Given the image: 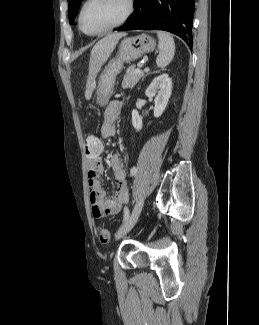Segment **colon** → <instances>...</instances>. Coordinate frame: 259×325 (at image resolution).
Returning <instances> with one entry per match:
<instances>
[{"label":"colon","mask_w":259,"mask_h":325,"mask_svg":"<svg viewBox=\"0 0 259 325\" xmlns=\"http://www.w3.org/2000/svg\"><path fill=\"white\" fill-rule=\"evenodd\" d=\"M84 147L86 152H94L96 150H103V139L97 138L93 134H88L84 140ZM96 236L100 243L108 244L110 241V232L104 227H98L96 230Z\"/></svg>","instance_id":"1"}]
</instances>
